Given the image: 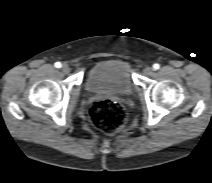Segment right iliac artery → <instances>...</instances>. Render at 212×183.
<instances>
[{
    "mask_svg": "<svg viewBox=\"0 0 212 183\" xmlns=\"http://www.w3.org/2000/svg\"><path fill=\"white\" fill-rule=\"evenodd\" d=\"M55 67H56V68H60V67H61V63H60V62H56V63H55Z\"/></svg>",
    "mask_w": 212,
    "mask_h": 183,
    "instance_id": "1",
    "label": "right iliac artery"
}]
</instances>
